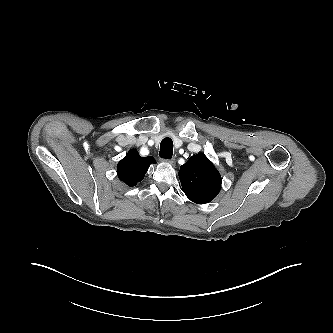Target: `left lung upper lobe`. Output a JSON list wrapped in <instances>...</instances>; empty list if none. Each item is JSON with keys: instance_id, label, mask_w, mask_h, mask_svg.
I'll use <instances>...</instances> for the list:
<instances>
[{"instance_id": "1", "label": "left lung upper lobe", "mask_w": 333, "mask_h": 333, "mask_svg": "<svg viewBox=\"0 0 333 333\" xmlns=\"http://www.w3.org/2000/svg\"><path fill=\"white\" fill-rule=\"evenodd\" d=\"M178 174L182 191L197 204L212 201L220 191L221 176L203 153L191 156Z\"/></svg>"}]
</instances>
